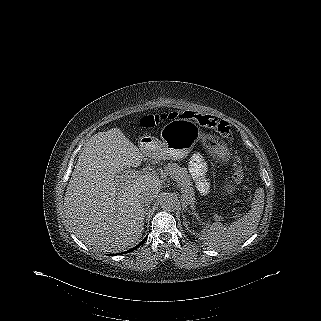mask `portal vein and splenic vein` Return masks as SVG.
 <instances>
[{
	"mask_svg": "<svg viewBox=\"0 0 321 321\" xmlns=\"http://www.w3.org/2000/svg\"><path fill=\"white\" fill-rule=\"evenodd\" d=\"M131 175L138 176V172L137 171H131Z\"/></svg>",
	"mask_w": 321,
	"mask_h": 321,
	"instance_id": "1",
	"label": "portal vein and splenic vein"
}]
</instances>
